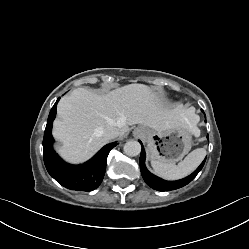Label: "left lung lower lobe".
<instances>
[{"label":"left lung lower lobe","mask_w":249,"mask_h":249,"mask_svg":"<svg viewBox=\"0 0 249 249\" xmlns=\"http://www.w3.org/2000/svg\"><path fill=\"white\" fill-rule=\"evenodd\" d=\"M206 160V159H205ZM205 160L201 163V165L188 177L178 180V181H166L163 180L152 173H150L145 166V150L142 146L141 155H140V169L142 173V177L144 181L153 189L158 191H170L181 188L188 183H190L196 175L200 172L202 167L204 166Z\"/></svg>","instance_id":"left-lung-lower-lobe-1"}]
</instances>
